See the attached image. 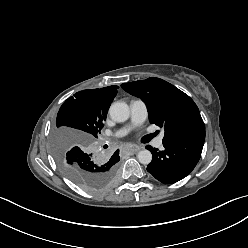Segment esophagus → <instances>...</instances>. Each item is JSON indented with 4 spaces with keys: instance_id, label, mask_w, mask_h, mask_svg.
Here are the masks:
<instances>
[{
    "instance_id": "34e87169",
    "label": "esophagus",
    "mask_w": 248,
    "mask_h": 248,
    "mask_svg": "<svg viewBox=\"0 0 248 248\" xmlns=\"http://www.w3.org/2000/svg\"><path fill=\"white\" fill-rule=\"evenodd\" d=\"M139 150H141V147L140 146H138V145H136V144H132L131 146H130V151L131 152H138Z\"/></svg>"
}]
</instances>
